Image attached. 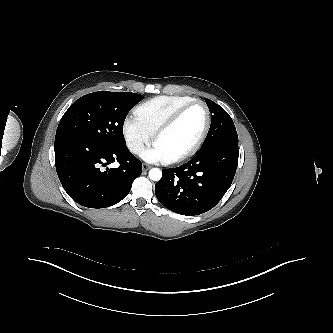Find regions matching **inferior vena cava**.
Masks as SVG:
<instances>
[{
  "label": "inferior vena cava",
  "instance_id": "inferior-vena-cava-1",
  "mask_svg": "<svg viewBox=\"0 0 333 333\" xmlns=\"http://www.w3.org/2000/svg\"><path fill=\"white\" fill-rule=\"evenodd\" d=\"M142 144H139V143H135V144H132L131 145V151L133 152V153H140L141 152V150H142Z\"/></svg>",
  "mask_w": 333,
  "mask_h": 333
}]
</instances>
